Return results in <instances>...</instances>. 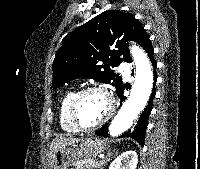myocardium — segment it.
<instances>
[{"label": "myocardium", "mask_w": 200, "mask_h": 169, "mask_svg": "<svg viewBox=\"0 0 200 169\" xmlns=\"http://www.w3.org/2000/svg\"><path fill=\"white\" fill-rule=\"evenodd\" d=\"M89 92L102 93L107 99L108 109H107V112L105 113V115L103 116V118L98 123H96L93 126L84 127L79 123L76 111H77V106H78L80 99ZM115 108H116L115 98L109 89H107L103 86H100V85H90V86H87V87L79 90L74 95V97L72 98L70 105H69V116H70V120H71L72 124L75 126V128L78 131L91 132V131H94V130L100 128L101 126H103L114 114Z\"/></svg>", "instance_id": "obj_1"}]
</instances>
